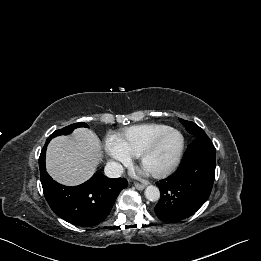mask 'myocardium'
<instances>
[{
  "mask_svg": "<svg viewBox=\"0 0 261 261\" xmlns=\"http://www.w3.org/2000/svg\"><path fill=\"white\" fill-rule=\"evenodd\" d=\"M168 134H175L179 138L178 147L176 149V152L171 159V161L162 169L157 171H151L148 172L151 176L155 178H163L168 175H170L178 166L181 157L183 155L184 147H185V141L183 135L174 128H168L161 133H159L156 137H154L149 144L143 149V151L138 155V160L141 165V167L144 166V163L146 159L150 156V154L156 149L160 141Z\"/></svg>",
  "mask_w": 261,
  "mask_h": 261,
  "instance_id": "myocardium-1",
  "label": "myocardium"
}]
</instances>
